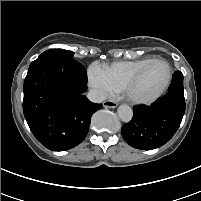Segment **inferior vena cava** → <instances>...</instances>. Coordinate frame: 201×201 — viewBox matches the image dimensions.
I'll return each instance as SVG.
<instances>
[{
	"mask_svg": "<svg viewBox=\"0 0 201 201\" xmlns=\"http://www.w3.org/2000/svg\"><path fill=\"white\" fill-rule=\"evenodd\" d=\"M87 98L93 103H101L106 99V95L99 90L91 89L87 94Z\"/></svg>",
	"mask_w": 201,
	"mask_h": 201,
	"instance_id": "obj_1",
	"label": "inferior vena cava"
}]
</instances>
